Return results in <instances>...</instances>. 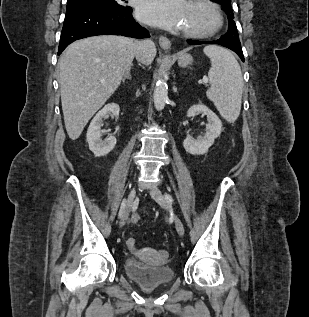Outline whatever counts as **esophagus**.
Returning a JSON list of instances; mask_svg holds the SVG:
<instances>
[{
	"mask_svg": "<svg viewBox=\"0 0 309 317\" xmlns=\"http://www.w3.org/2000/svg\"><path fill=\"white\" fill-rule=\"evenodd\" d=\"M159 45L161 46L162 49L168 51L171 48V41L165 36H160Z\"/></svg>",
	"mask_w": 309,
	"mask_h": 317,
	"instance_id": "esophagus-1",
	"label": "esophagus"
}]
</instances>
